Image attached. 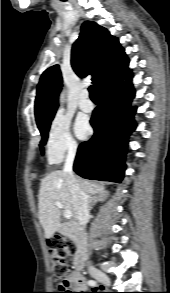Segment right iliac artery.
Wrapping results in <instances>:
<instances>
[{
  "label": "right iliac artery",
  "mask_w": 170,
  "mask_h": 293,
  "mask_svg": "<svg viewBox=\"0 0 170 293\" xmlns=\"http://www.w3.org/2000/svg\"><path fill=\"white\" fill-rule=\"evenodd\" d=\"M88 285L95 287V286H97V281H95V280H89L88 281Z\"/></svg>",
  "instance_id": "82829eb1"
}]
</instances>
